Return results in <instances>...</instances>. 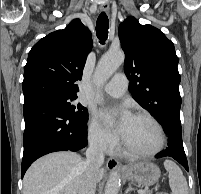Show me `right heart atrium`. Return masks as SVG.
<instances>
[{
	"label": "right heart atrium",
	"mask_w": 201,
	"mask_h": 194,
	"mask_svg": "<svg viewBox=\"0 0 201 194\" xmlns=\"http://www.w3.org/2000/svg\"><path fill=\"white\" fill-rule=\"evenodd\" d=\"M87 136L90 145L99 152H111L118 145L117 138L104 129L95 118L89 120Z\"/></svg>",
	"instance_id": "right-heart-atrium-1"
}]
</instances>
